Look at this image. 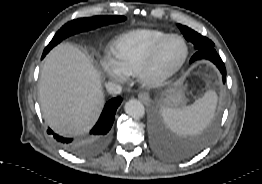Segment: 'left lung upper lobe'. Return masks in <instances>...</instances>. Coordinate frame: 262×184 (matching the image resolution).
Wrapping results in <instances>:
<instances>
[{"label":"left lung upper lobe","mask_w":262,"mask_h":184,"mask_svg":"<svg viewBox=\"0 0 262 184\" xmlns=\"http://www.w3.org/2000/svg\"><path fill=\"white\" fill-rule=\"evenodd\" d=\"M179 29L186 38L187 41L193 43L196 50L208 47H214V43L205 36L200 35L196 31L190 29L187 26L178 24Z\"/></svg>","instance_id":"obj_1"}]
</instances>
